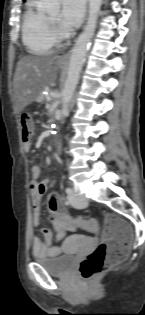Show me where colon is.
Instances as JSON below:
<instances>
[{"label": "colon", "instance_id": "1", "mask_svg": "<svg viewBox=\"0 0 145 315\" xmlns=\"http://www.w3.org/2000/svg\"><path fill=\"white\" fill-rule=\"evenodd\" d=\"M22 140L29 142L34 134V121L29 113L20 116ZM49 211L56 218L90 232L98 230V224L93 219L72 218L65 212L64 206L51 196L48 202ZM105 229L98 247L80 264L79 273L83 279L89 280L108 270L127 255L132 241V231L127 222L114 214H107L104 218Z\"/></svg>", "mask_w": 145, "mask_h": 315}]
</instances>
